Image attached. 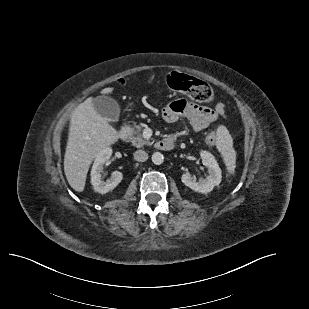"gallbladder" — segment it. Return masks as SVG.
<instances>
[{"label": "gallbladder", "mask_w": 309, "mask_h": 309, "mask_svg": "<svg viewBox=\"0 0 309 309\" xmlns=\"http://www.w3.org/2000/svg\"><path fill=\"white\" fill-rule=\"evenodd\" d=\"M93 107L102 117L111 122H117L120 116L118 103L108 96H97L92 101Z\"/></svg>", "instance_id": "1"}]
</instances>
